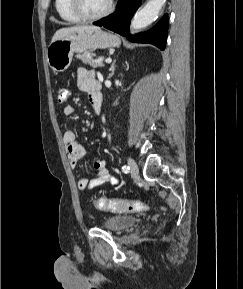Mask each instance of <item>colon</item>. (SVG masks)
I'll use <instances>...</instances> for the list:
<instances>
[{
	"label": "colon",
	"mask_w": 243,
	"mask_h": 289,
	"mask_svg": "<svg viewBox=\"0 0 243 289\" xmlns=\"http://www.w3.org/2000/svg\"><path fill=\"white\" fill-rule=\"evenodd\" d=\"M69 96L66 88H60L56 94L58 104H64ZM95 206L99 210L117 212V213H140L148 210L147 204L138 200H122L100 198L95 201Z\"/></svg>",
	"instance_id": "1"
}]
</instances>
